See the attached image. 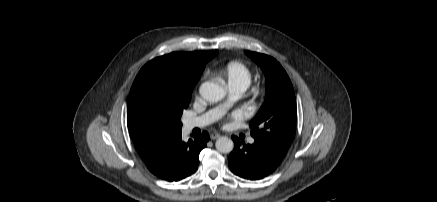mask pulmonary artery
Returning <instances> with one entry per match:
<instances>
[{
  "label": "pulmonary artery",
  "mask_w": 437,
  "mask_h": 202,
  "mask_svg": "<svg viewBox=\"0 0 437 202\" xmlns=\"http://www.w3.org/2000/svg\"><path fill=\"white\" fill-rule=\"evenodd\" d=\"M230 90H231V99L227 103H225L224 105H221L217 108H214L201 116L187 119L184 123L185 128L187 130H191L193 128L204 127L206 125L213 123L224 113L225 109L230 105V103L234 99L238 98L239 96H241L244 93L246 88H244V87H230ZM248 141H249V143H253L254 139L249 138Z\"/></svg>",
  "instance_id": "e3ab8cb5"
}]
</instances>
